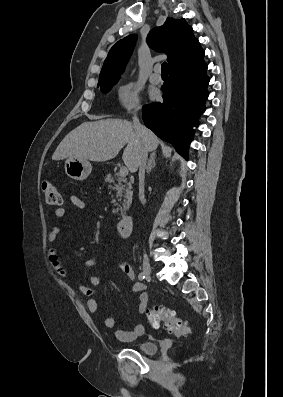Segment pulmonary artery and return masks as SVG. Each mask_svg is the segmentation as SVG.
<instances>
[{
  "label": "pulmonary artery",
  "instance_id": "e3ab8cb5",
  "mask_svg": "<svg viewBox=\"0 0 283 397\" xmlns=\"http://www.w3.org/2000/svg\"><path fill=\"white\" fill-rule=\"evenodd\" d=\"M159 72H160V66L156 65L154 67L153 73L150 76L151 83L159 84L161 82V76H160Z\"/></svg>",
  "mask_w": 283,
  "mask_h": 397
}]
</instances>
